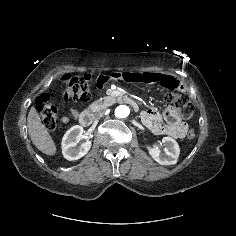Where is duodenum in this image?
I'll return each instance as SVG.
<instances>
[{"label": "duodenum", "mask_w": 236, "mask_h": 236, "mask_svg": "<svg viewBox=\"0 0 236 236\" xmlns=\"http://www.w3.org/2000/svg\"><path fill=\"white\" fill-rule=\"evenodd\" d=\"M116 100L120 103L128 104L135 109L138 108V104L135 101V99H133L132 97L128 95H125V94L118 95L116 96ZM79 122L82 126H85V127L90 126L93 122V114L88 111L82 112L79 115Z\"/></svg>", "instance_id": "duodenum-1"}]
</instances>
